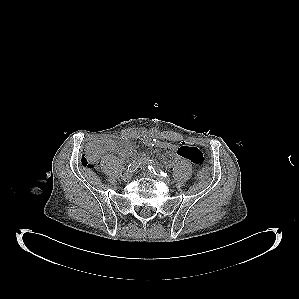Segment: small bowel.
Returning a JSON list of instances; mask_svg holds the SVG:
<instances>
[{"label":"small bowel","instance_id":"1","mask_svg":"<svg viewBox=\"0 0 299 299\" xmlns=\"http://www.w3.org/2000/svg\"><path fill=\"white\" fill-rule=\"evenodd\" d=\"M143 143L146 146L156 147L174 152L178 157L186 159L197 166H201L204 163L203 153L195 146L190 144L175 145L168 141H161L157 139L144 138ZM104 150L107 152H118L123 157H135V151L128 145L126 141L118 144L113 140L104 142ZM142 161H146V158H142Z\"/></svg>","mask_w":299,"mask_h":299}]
</instances>
